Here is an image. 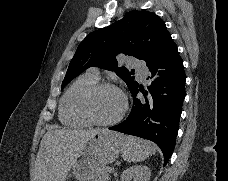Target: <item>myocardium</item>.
<instances>
[{"label":"myocardium","instance_id":"1","mask_svg":"<svg viewBox=\"0 0 228 181\" xmlns=\"http://www.w3.org/2000/svg\"><path fill=\"white\" fill-rule=\"evenodd\" d=\"M104 88H113L117 90L123 100V106L120 112L113 118L107 119V120H102L99 119L95 116L92 105H91V97L94 93L97 91L104 89ZM128 108V100L124 92L116 86L113 82L110 81H102V82H96L93 84L84 94L82 102H81V109L83 112V115L93 124L96 125H101V126H107V125H112L116 122H118L126 113V110Z\"/></svg>","mask_w":228,"mask_h":181}]
</instances>
